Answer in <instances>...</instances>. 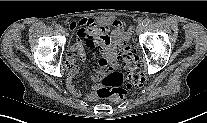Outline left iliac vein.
Returning a JSON list of instances; mask_svg holds the SVG:
<instances>
[{
    "label": "left iliac vein",
    "instance_id": "obj_1",
    "mask_svg": "<svg viewBox=\"0 0 207 123\" xmlns=\"http://www.w3.org/2000/svg\"><path fill=\"white\" fill-rule=\"evenodd\" d=\"M144 26L140 23L136 28V34H140L143 31Z\"/></svg>",
    "mask_w": 207,
    "mask_h": 123
}]
</instances>
